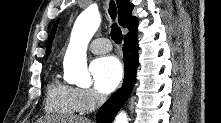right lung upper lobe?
<instances>
[{"instance_id":"1","label":"right lung upper lobe","mask_w":221,"mask_h":123,"mask_svg":"<svg viewBox=\"0 0 221 123\" xmlns=\"http://www.w3.org/2000/svg\"><path fill=\"white\" fill-rule=\"evenodd\" d=\"M117 6L119 10V23L122 27H126L129 29V33L125 35L124 37L137 35V27H138V20L136 17H133L131 15V12L134 8V5L129 0H117ZM58 21L54 24V27L51 31V34L48 38L47 42V53L49 54L51 52V45L52 41L54 39V35L56 32V27L58 24Z\"/></svg>"}]
</instances>
